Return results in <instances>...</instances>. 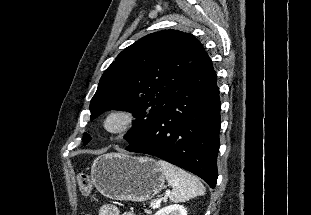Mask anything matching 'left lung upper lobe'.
<instances>
[{
	"label": "left lung upper lobe",
	"mask_w": 311,
	"mask_h": 215,
	"mask_svg": "<svg viewBox=\"0 0 311 215\" xmlns=\"http://www.w3.org/2000/svg\"><path fill=\"white\" fill-rule=\"evenodd\" d=\"M204 48L192 34L163 30L127 47L106 69L90 103L91 119L106 110L131 112L125 139L132 144L193 71ZM91 137L84 133L83 143Z\"/></svg>",
	"instance_id": "5c2ea615"
}]
</instances>
